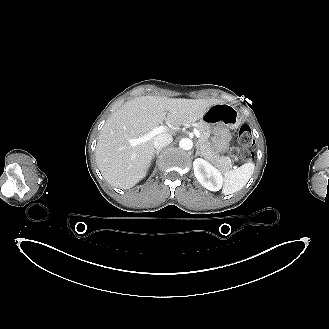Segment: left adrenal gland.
Instances as JSON below:
<instances>
[{
  "label": "left adrenal gland",
  "mask_w": 329,
  "mask_h": 329,
  "mask_svg": "<svg viewBox=\"0 0 329 329\" xmlns=\"http://www.w3.org/2000/svg\"><path fill=\"white\" fill-rule=\"evenodd\" d=\"M200 155L202 156V153L199 151L198 144H196V153L195 156Z\"/></svg>",
  "instance_id": "obj_1"
}]
</instances>
